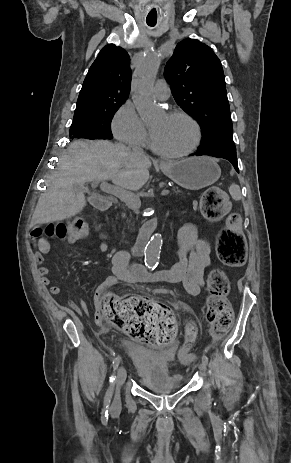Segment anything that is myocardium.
I'll return each mask as SVG.
<instances>
[{
	"label": "myocardium",
	"instance_id": "1",
	"mask_svg": "<svg viewBox=\"0 0 291 463\" xmlns=\"http://www.w3.org/2000/svg\"><path fill=\"white\" fill-rule=\"evenodd\" d=\"M166 116H168V117H178V118H182V119L186 120L193 128V131H194L193 141H192L191 145L188 148H186V149H184L182 151L174 152V153H168V152H164V151L159 150L154 145L153 136L151 135V140H150L151 149L156 154H158L159 156H161L163 158H168V159L182 158V157L188 156L191 153H193L198 148V146L200 145L201 138H202L201 128H200V125L197 122V120L192 115H190L188 112H186L184 110H180V109L171 110V111H169L167 113Z\"/></svg>",
	"mask_w": 291,
	"mask_h": 463
}]
</instances>
